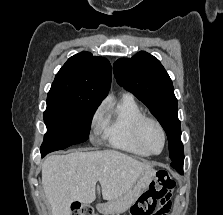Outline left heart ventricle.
I'll return each mask as SVG.
<instances>
[{"instance_id": "obj_1", "label": "left heart ventricle", "mask_w": 223, "mask_h": 215, "mask_svg": "<svg viewBox=\"0 0 223 215\" xmlns=\"http://www.w3.org/2000/svg\"><path fill=\"white\" fill-rule=\"evenodd\" d=\"M162 145L159 129L153 123H146L142 130V147L148 152H158Z\"/></svg>"}]
</instances>
